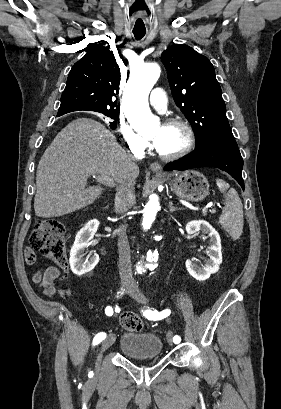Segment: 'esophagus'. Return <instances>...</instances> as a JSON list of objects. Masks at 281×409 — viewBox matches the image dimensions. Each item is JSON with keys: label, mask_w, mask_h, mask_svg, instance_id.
I'll return each mask as SVG.
<instances>
[{"label": "esophagus", "mask_w": 281, "mask_h": 409, "mask_svg": "<svg viewBox=\"0 0 281 409\" xmlns=\"http://www.w3.org/2000/svg\"><path fill=\"white\" fill-rule=\"evenodd\" d=\"M150 169L156 174H160L162 171V167L158 162H152V164H150Z\"/></svg>", "instance_id": "34e87169"}]
</instances>
